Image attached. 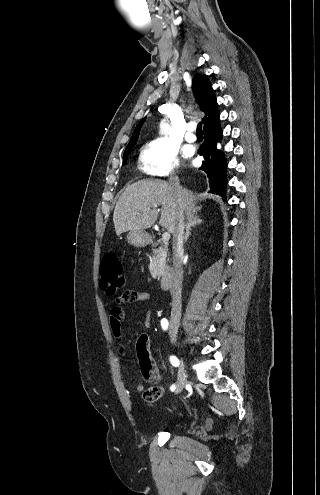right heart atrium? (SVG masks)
Listing matches in <instances>:
<instances>
[{"label": "right heart atrium", "instance_id": "right-heart-atrium-1", "mask_svg": "<svg viewBox=\"0 0 320 495\" xmlns=\"http://www.w3.org/2000/svg\"><path fill=\"white\" fill-rule=\"evenodd\" d=\"M139 165L143 172L155 177H168L179 169L177 149L164 139L147 142L141 150Z\"/></svg>", "mask_w": 320, "mask_h": 495}]
</instances>
